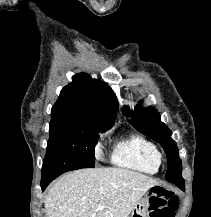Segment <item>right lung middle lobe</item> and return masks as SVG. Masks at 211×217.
I'll list each match as a JSON object with an SVG mask.
<instances>
[{"label": "right lung middle lobe", "mask_w": 211, "mask_h": 217, "mask_svg": "<svg viewBox=\"0 0 211 217\" xmlns=\"http://www.w3.org/2000/svg\"><path fill=\"white\" fill-rule=\"evenodd\" d=\"M107 129L109 127L97 124L50 122L42 178L70 170L94 168L98 133Z\"/></svg>", "instance_id": "obj_1"}]
</instances>
